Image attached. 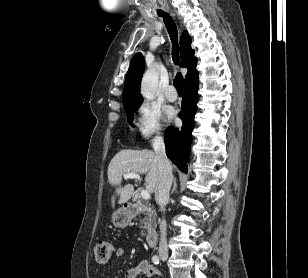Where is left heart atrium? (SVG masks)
<instances>
[{"label":"left heart atrium","mask_w":308,"mask_h":278,"mask_svg":"<svg viewBox=\"0 0 308 278\" xmlns=\"http://www.w3.org/2000/svg\"><path fill=\"white\" fill-rule=\"evenodd\" d=\"M169 117H173L174 116V112L171 110V111H169Z\"/></svg>","instance_id":"left-heart-atrium-1"}]
</instances>
